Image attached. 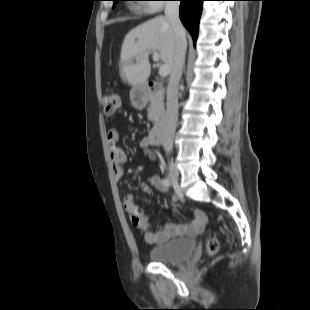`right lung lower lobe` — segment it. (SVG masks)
<instances>
[{
	"label": "right lung lower lobe",
	"mask_w": 310,
	"mask_h": 310,
	"mask_svg": "<svg viewBox=\"0 0 310 310\" xmlns=\"http://www.w3.org/2000/svg\"><path fill=\"white\" fill-rule=\"evenodd\" d=\"M180 19L196 44L198 25L204 0H180Z\"/></svg>",
	"instance_id": "1"
}]
</instances>
